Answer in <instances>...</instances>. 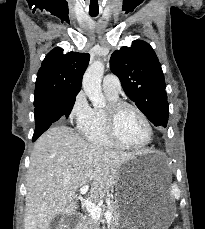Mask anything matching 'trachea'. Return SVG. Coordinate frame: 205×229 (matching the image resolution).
<instances>
[{
    "mask_svg": "<svg viewBox=\"0 0 205 229\" xmlns=\"http://www.w3.org/2000/svg\"><path fill=\"white\" fill-rule=\"evenodd\" d=\"M91 16H92V17H96V16H97V14H91Z\"/></svg>",
    "mask_w": 205,
    "mask_h": 229,
    "instance_id": "obj_1",
    "label": "trachea"
}]
</instances>
